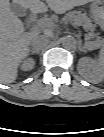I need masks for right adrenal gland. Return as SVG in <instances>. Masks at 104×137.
Wrapping results in <instances>:
<instances>
[{"mask_svg": "<svg viewBox=\"0 0 104 137\" xmlns=\"http://www.w3.org/2000/svg\"><path fill=\"white\" fill-rule=\"evenodd\" d=\"M31 54H39V51H36V50L32 49Z\"/></svg>", "mask_w": 104, "mask_h": 137, "instance_id": "1", "label": "right adrenal gland"}]
</instances>
